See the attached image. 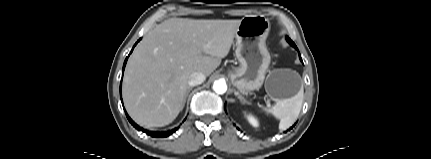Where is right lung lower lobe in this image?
Wrapping results in <instances>:
<instances>
[{
  "label": "right lung lower lobe",
  "mask_w": 431,
  "mask_h": 159,
  "mask_svg": "<svg viewBox=\"0 0 431 159\" xmlns=\"http://www.w3.org/2000/svg\"><path fill=\"white\" fill-rule=\"evenodd\" d=\"M132 52V51H131ZM127 59H128V57L126 58V60H125V62H124V66H123V71H124V68H125V65H126V62H127ZM121 101H122V98H121ZM125 113H126V111H125ZM126 116H127V119L130 121V123L137 129V130H139V131H143L144 133H146V134H148V135H150V136H152V137H167V136H169V135H171L172 133H174L176 130H177V128H175V129H172L171 131H165V132H153V131H148V130H145V129H143V128H141V127H139L137 124H135L133 121H132V119L128 116V114L126 113Z\"/></svg>",
  "instance_id": "1"
}]
</instances>
